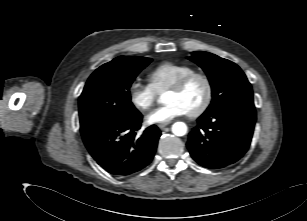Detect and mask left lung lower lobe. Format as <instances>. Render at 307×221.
Wrapping results in <instances>:
<instances>
[{
    "label": "left lung lower lobe",
    "mask_w": 307,
    "mask_h": 221,
    "mask_svg": "<svg viewBox=\"0 0 307 221\" xmlns=\"http://www.w3.org/2000/svg\"><path fill=\"white\" fill-rule=\"evenodd\" d=\"M189 133L187 147L201 166L220 169L237 162L248 150L256 121L253 101H237L205 111Z\"/></svg>",
    "instance_id": "0a47b994"
}]
</instances>
